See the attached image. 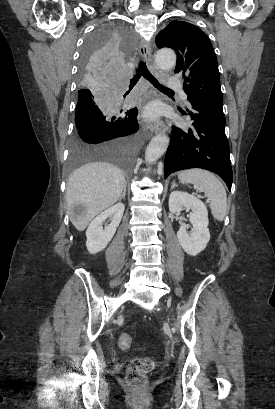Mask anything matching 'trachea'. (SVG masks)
<instances>
[{
    "mask_svg": "<svg viewBox=\"0 0 275 409\" xmlns=\"http://www.w3.org/2000/svg\"><path fill=\"white\" fill-rule=\"evenodd\" d=\"M141 76L149 80V82H151L158 90L165 91V92H173L172 89L164 87V85H161L157 81V79L153 77V75H151L148 68L146 67L145 62L141 60L138 64V67L135 70V75L133 79L130 81L129 90L126 92L125 96L130 92V90H132V88L138 82Z\"/></svg>",
    "mask_w": 275,
    "mask_h": 409,
    "instance_id": "3493384b",
    "label": "trachea"
}]
</instances>
